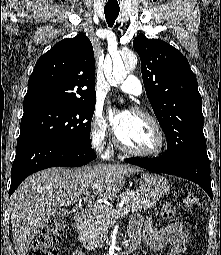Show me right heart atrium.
<instances>
[{
    "mask_svg": "<svg viewBox=\"0 0 221 255\" xmlns=\"http://www.w3.org/2000/svg\"><path fill=\"white\" fill-rule=\"evenodd\" d=\"M90 135L92 146L99 152L105 151L107 148L110 131L103 113L99 110H96L93 114Z\"/></svg>",
    "mask_w": 221,
    "mask_h": 255,
    "instance_id": "obj_1",
    "label": "right heart atrium"
}]
</instances>
